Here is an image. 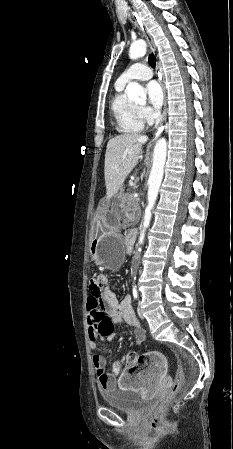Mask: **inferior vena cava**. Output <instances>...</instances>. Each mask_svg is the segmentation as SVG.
<instances>
[{"label":"inferior vena cava","mask_w":233,"mask_h":449,"mask_svg":"<svg viewBox=\"0 0 233 449\" xmlns=\"http://www.w3.org/2000/svg\"><path fill=\"white\" fill-rule=\"evenodd\" d=\"M161 121V113L159 111L155 112V127L160 123Z\"/></svg>","instance_id":"inferior-vena-cava-1"}]
</instances>
